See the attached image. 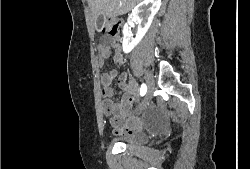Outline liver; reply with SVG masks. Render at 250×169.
Masks as SVG:
<instances>
[{"label":"liver","instance_id":"6515ba94","mask_svg":"<svg viewBox=\"0 0 250 169\" xmlns=\"http://www.w3.org/2000/svg\"><path fill=\"white\" fill-rule=\"evenodd\" d=\"M140 0H88L93 16H119L131 10Z\"/></svg>","mask_w":250,"mask_h":169}]
</instances>
